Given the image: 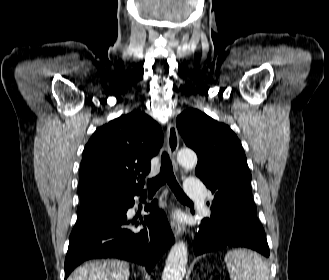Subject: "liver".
Returning a JSON list of instances; mask_svg holds the SVG:
<instances>
[{"instance_id":"liver-1","label":"liver","mask_w":329,"mask_h":280,"mask_svg":"<svg viewBox=\"0 0 329 280\" xmlns=\"http://www.w3.org/2000/svg\"><path fill=\"white\" fill-rule=\"evenodd\" d=\"M127 263L119 260L89 262L77 269L68 280H128Z\"/></svg>"}]
</instances>
